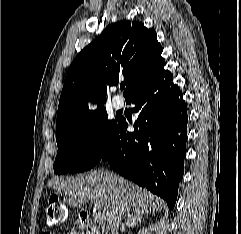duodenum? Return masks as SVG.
<instances>
[{
  "label": "duodenum",
  "instance_id": "410a0bca",
  "mask_svg": "<svg viewBox=\"0 0 241 234\" xmlns=\"http://www.w3.org/2000/svg\"><path fill=\"white\" fill-rule=\"evenodd\" d=\"M79 225L84 228L88 234H99L97 228L91 223L89 214L82 211L78 215Z\"/></svg>",
  "mask_w": 241,
  "mask_h": 234
}]
</instances>
